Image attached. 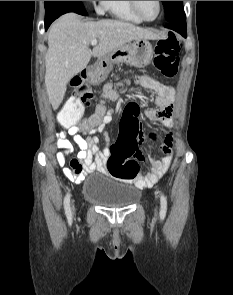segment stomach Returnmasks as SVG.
<instances>
[{
	"label": "stomach",
	"mask_w": 233,
	"mask_h": 295,
	"mask_svg": "<svg viewBox=\"0 0 233 295\" xmlns=\"http://www.w3.org/2000/svg\"><path fill=\"white\" fill-rule=\"evenodd\" d=\"M153 54L154 48L149 39H135L100 60L97 67L88 74L87 79L91 83H101L114 63H125L137 68H143L150 64Z\"/></svg>",
	"instance_id": "0dacf381"
}]
</instances>
